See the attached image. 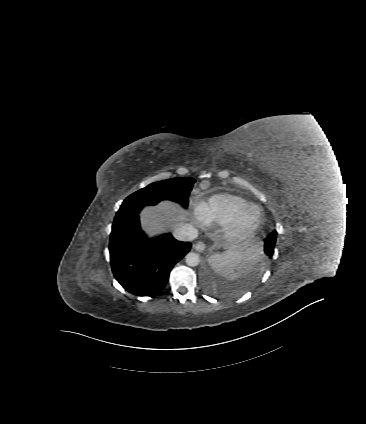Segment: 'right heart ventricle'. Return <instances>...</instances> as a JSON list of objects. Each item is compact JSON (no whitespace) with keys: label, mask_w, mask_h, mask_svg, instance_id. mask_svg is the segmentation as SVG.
I'll use <instances>...</instances> for the list:
<instances>
[{"label":"right heart ventricle","mask_w":366,"mask_h":424,"mask_svg":"<svg viewBox=\"0 0 366 424\" xmlns=\"http://www.w3.org/2000/svg\"><path fill=\"white\" fill-rule=\"evenodd\" d=\"M250 202L239 195L220 193L209 197L198 208V215L207 224L226 225L236 213Z\"/></svg>","instance_id":"e07e8e85"}]
</instances>
